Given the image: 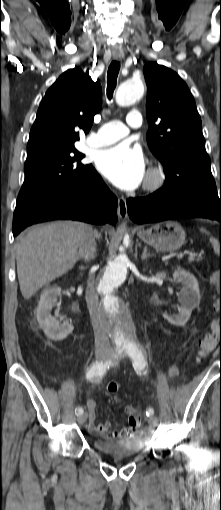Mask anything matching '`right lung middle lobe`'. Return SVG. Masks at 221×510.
<instances>
[{
    "label": "right lung middle lobe",
    "instance_id": "dd1d6c3e",
    "mask_svg": "<svg viewBox=\"0 0 221 510\" xmlns=\"http://www.w3.org/2000/svg\"><path fill=\"white\" fill-rule=\"evenodd\" d=\"M84 157L74 146L44 148L27 154L25 180L14 217L23 219L43 199L79 182L92 167L81 163Z\"/></svg>",
    "mask_w": 221,
    "mask_h": 510
}]
</instances>
